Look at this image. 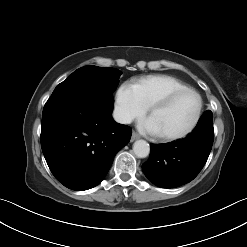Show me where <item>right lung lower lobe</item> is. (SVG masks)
Masks as SVG:
<instances>
[{"mask_svg": "<svg viewBox=\"0 0 247 247\" xmlns=\"http://www.w3.org/2000/svg\"><path fill=\"white\" fill-rule=\"evenodd\" d=\"M113 102L102 95L50 98L43 109L41 147L55 178L72 190L99 184L132 130L116 123Z\"/></svg>", "mask_w": 247, "mask_h": 247, "instance_id": "obj_1", "label": "right lung lower lobe"}]
</instances>
